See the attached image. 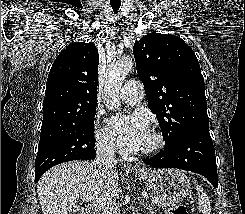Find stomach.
<instances>
[{
  "instance_id": "0dacf381",
  "label": "stomach",
  "mask_w": 245,
  "mask_h": 214,
  "mask_svg": "<svg viewBox=\"0 0 245 214\" xmlns=\"http://www.w3.org/2000/svg\"><path fill=\"white\" fill-rule=\"evenodd\" d=\"M136 174L155 194L171 203L184 199L190 193V181L180 170L138 169Z\"/></svg>"
}]
</instances>
